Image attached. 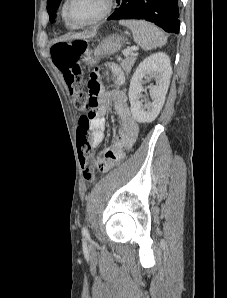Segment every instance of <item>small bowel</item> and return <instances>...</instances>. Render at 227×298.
Listing matches in <instances>:
<instances>
[{"label": "small bowel", "instance_id": "c3829d8e", "mask_svg": "<svg viewBox=\"0 0 227 298\" xmlns=\"http://www.w3.org/2000/svg\"><path fill=\"white\" fill-rule=\"evenodd\" d=\"M101 68H110V63H101ZM112 69L122 81L119 68L113 65ZM98 77H102L101 69H94L89 75L90 82H87V91L90 92L89 103H95L91 104V109L94 110H89V115H95L90 118L91 148H97L104 140L106 116L111 106L121 121L118 135L112 140L104 155L94 160L96 170L105 172L115 167L116 162H122L124 151L130 149L138 137L139 125L131 114L125 92L117 89L105 91Z\"/></svg>", "mask_w": 227, "mask_h": 298}]
</instances>
